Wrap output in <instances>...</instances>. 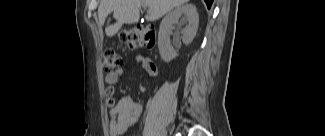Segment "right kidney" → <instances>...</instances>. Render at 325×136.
Wrapping results in <instances>:
<instances>
[{
    "label": "right kidney",
    "instance_id": "obj_1",
    "mask_svg": "<svg viewBox=\"0 0 325 136\" xmlns=\"http://www.w3.org/2000/svg\"><path fill=\"white\" fill-rule=\"evenodd\" d=\"M179 18H181V25L187 24L182 37L184 44H190L197 33L199 16L195 5L184 4L168 13L160 24L158 35L159 52L165 62H170L177 56V52L171 47L170 32L173 24L178 23Z\"/></svg>",
    "mask_w": 325,
    "mask_h": 136
}]
</instances>
